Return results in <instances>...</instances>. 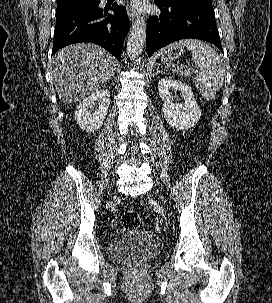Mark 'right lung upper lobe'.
I'll return each instance as SVG.
<instances>
[{"instance_id":"right-lung-upper-lobe-1","label":"right lung upper lobe","mask_w":272,"mask_h":303,"mask_svg":"<svg viewBox=\"0 0 272 303\" xmlns=\"http://www.w3.org/2000/svg\"><path fill=\"white\" fill-rule=\"evenodd\" d=\"M74 1H79V0H57V4H63V3L74 2Z\"/></svg>"}]
</instances>
